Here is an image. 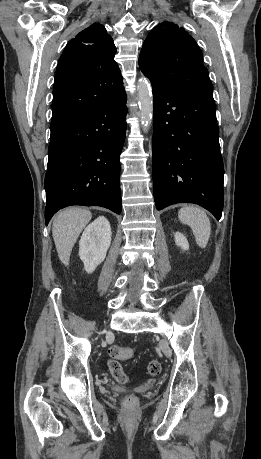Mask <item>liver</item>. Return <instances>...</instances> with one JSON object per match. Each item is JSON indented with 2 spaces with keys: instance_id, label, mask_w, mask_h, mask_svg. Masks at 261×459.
<instances>
[{
  "instance_id": "6515ba94",
  "label": "liver",
  "mask_w": 261,
  "mask_h": 459,
  "mask_svg": "<svg viewBox=\"0 0 261 459\" xmlns=\"http://www.w3.org/2000/svg\"><path fill=\"white\" fill-rule=\"evenodd\" d=\"M91 218V212L82 208H69L55 216L52 236L59 259L64 265H68L73 246Z\"/></svg>"
}]
</instances>
